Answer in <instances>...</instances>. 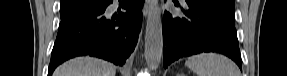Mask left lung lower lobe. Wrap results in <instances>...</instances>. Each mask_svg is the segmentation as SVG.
<instances>
[{
    "label": "left lung lower lobe",
    "instance_id": "1",
    "mask_svg": "<svg viewBox=\"0 0 287 76\" xmlns=\"http://www.w3.org/2000/svg\"><path fill=\"white\" fill-rule=\"evenodd\" d=\"M183 17L165 11L163 17V66L201 52H217L240 67L242 61L236 29L217 16L191 4L182 9Z\"/></svg>",
    "mask_w": 287,
    "mask_h": 76
}]
</instances>
